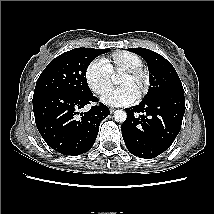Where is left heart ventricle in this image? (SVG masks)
<instances>
[{"mask_svg": "<svg viewBox=\"0 0 214 214\" xmlns=\"http://www.w3.org/2000/svg\"><path fill=\"white\" fill-rule=\"evenodd\" d=\"M118 84L120 86H129L131 88H133L137 93H139V85L137 84V82L135 80H133L131 77L123 74L121 75Z\"/></svg>", "mask_w": 214, "mask_h": 214, "instance_id": "obj_1", "label": "left heart ventricle"}]
</instances>
